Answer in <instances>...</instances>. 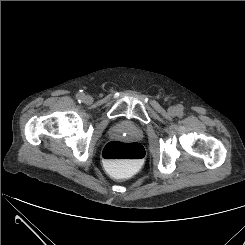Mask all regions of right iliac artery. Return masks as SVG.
Masks as SVG:
<instances>
[{"label":"right iliac artery","mask_w":245,"mask_h":245,"mask_svg":"<svg viewBox=\"0 0 245 245\" xmlns=\"http://www.w3.org/2000/svg\"><path fill=\"white\" fill-rule=\"evenodd\" d=\"M76 98H77V100L80 102V101H83V98H84V94L83 93H78L77 95H76Z\"/></svg>","instance_id":"obj_1"}]
</instances>
